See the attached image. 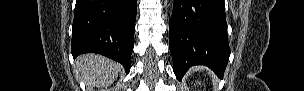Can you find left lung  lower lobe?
<instances>
[{
  "mask_svg": "<svg viewBox=\"0 0 304 91\" xmlns=\"http://www.w3.org/2000/svg\"><path fill=\"white\" fill-rule=\"evenodd\" d=\"M169 49L177 79L194 65L222 78L230 56L224 1L174 0Z\"/></svg>",
  "mask_w": 304,
  "mask_h": 91,
  "instance_id": "left-lung-lower-lobe-1",
  "label": "left lung lower lobe"
}]
</instances>
